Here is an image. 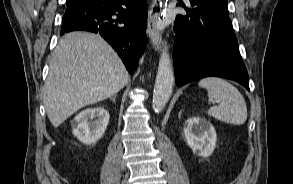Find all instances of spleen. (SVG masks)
Wrapping results in <instances>:
<instances>
[{
    "label": "spleen",
    "instance_id": "spleen-1",
    "mask_svg": "<svg viewBox=\"0 0 293 184\" xmlns=\"http://www.w3.org/2000/svg\"><path fill=\"white\" fill-rule=\"evenodd\" d=\"M199 87L205 88L209 99L219 101L218 106L207 110L209 116L217 120L242 125L247 120V106L240 91L228 81L219 77L201 79Z\"/></svg>",
    "mask_w": 293,
    "mask_h": 184
}]
</instances>
